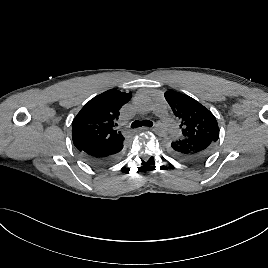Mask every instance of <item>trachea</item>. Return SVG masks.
I'll use <instances>...</instances> for the list:
<instances>
[{
    "mask_svg": "<svg viewBox=\"0 0 268 268\" xmlns=\"http://www.w3.org/2000/svg\"><path fill=\"white\" fill-rule=\"evenodd\" d=\"M141 126L152 127L153 122H151L150 120H143V121L136 120L131 124V128H138V127H141Z\"/></svg>",
    "mask_w": 268,
    "mask_h": 268,
    "instance_id": "trachea-1",
    "label": "trachea"
}]
</instances>
